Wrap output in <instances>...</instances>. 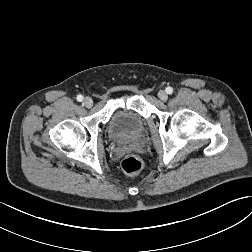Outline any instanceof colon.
Returning a JSON list of instances; mask_svg holds the SVG:
<instances>
[{"mask_svg": "<svg viewBox=\"0 0 252 252\" xmlns=\"http://www.w3.org/2000/svg\"><path fill=\"white\" fill-rule=\"evenodd\" d=\"M121 167L128 174H137L143 168V160L136 154H128L122 159Z\"/></svg>", "mask_w": 252, "mask_h": 252, "instance_id": "obj_1", "label": "colon"}]
</instances>
